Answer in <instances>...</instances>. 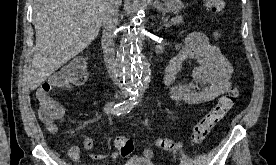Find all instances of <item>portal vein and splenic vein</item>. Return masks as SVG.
<instances>
[{"instance_id": "1", "label": "portal vein and splenic vein", "mask_w": 276, "mask_h": 165, "mask_svg": "<svg viewBox=\"0 0 276 165\" xmlns=\"http://www.w3.org/2000/svg\"><path fill=\"white\" fill-rule=\"evenodd\" d=\"M171 24H172V22H167V21L165 22L166 27H169Z\"/></svg>"}]
</instances>
